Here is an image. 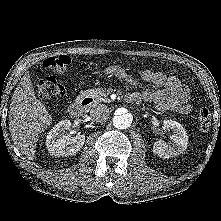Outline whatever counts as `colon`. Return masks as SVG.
Returning a JSON list of instances; mask_svg holds the SVG:
<instances>
[{"label":"colon","instance_id":"5ec220e1","mask_svg":"<svg viewBox=\"0 0 221 221\" xmlns=\"http://www.w3.org/2000/svg\"><path fill=\"white\" fill-rule=\"evenodd\" d=\"M71 59L67 55L57 57H48L43 61V67L52 72L62 74L70 65ZM36 90L40 98L46 100H58L64 94L62 85L51 76H40L35 80ZM198 124L202 132H208L211 129V113L208 108H201L198 111Z\"/></svg>","mask_w":221,"mask_h":221}]
</instances>
